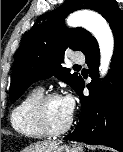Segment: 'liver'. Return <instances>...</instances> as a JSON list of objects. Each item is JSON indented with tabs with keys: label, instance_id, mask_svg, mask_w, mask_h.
Returning a JSON list of instances; mask_svg holds the SVG:
<instances>
[{
	"label": "liver",
	"instance_id": "obj_1",
	"mask_svg": "<svg viewBox=\"0 0 123 152\" xmlns=\"http://www.w3.org/2000/svg\"><path fill=\"white\" fill-rule=\"evenodd\" d=\"M60 142L41 141L26 147L22 152H52Z\"/></svg>",
	"mask_w": 123,
	"mask_h": 152
}]
</instances>
